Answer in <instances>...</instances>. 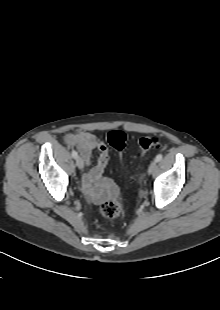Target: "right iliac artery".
Listing matches in <instances>:
<instances>
[{
  "label": "right iliac artery",
  "mask_w": 220,
  "mask_h": 310,
  "mask_svg": "<svg viewBox=\"0 0 220 310\" xmlns=\"http://www.w3.org/2000/svg\"><path fill=\"white\" fill-rule=\"evenodd\" d=\"M71 154H72L73 158H77L78 157V153L75 150H73Z\"/></svg>",
  "instance_id": "1"
}]
</instances>
